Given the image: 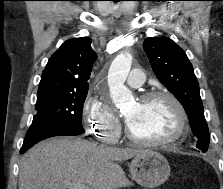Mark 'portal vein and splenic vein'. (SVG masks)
Listing matches in <instances>:
<instances>
[{"instance_id":"1","label":"portal vein and splenic vein","mask_w":223,"mask_h":189,"mask_svg":"<svg viewBox=\"0 0 223 189\" xmlns=\"http://www.w3.org/2000/svg\"><path fill=\"white\" fill-rule=\"evenodd\" d=\"M68 189H92L85 184L67 183Z\"/></svg>"}]
</instances>
